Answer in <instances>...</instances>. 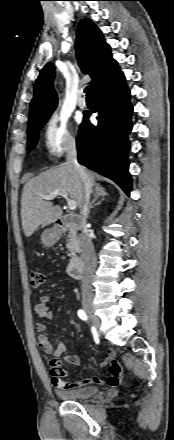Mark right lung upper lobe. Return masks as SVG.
Wrapping results in <instances>:
<instances>
[{
  "mask_svg": "<svg viewBox=\"0 0 174 440\" xmlns=\"http://www.w3.org/2000/svg\"><path fill=\"white\" fill-rule=\"evenodd\" d=\"M76 52L81 69L91 76L90 83L95 90L117 62L112 58L110 46L102 32L90 19L81 20L78 24ZM54 75V65L48 63L36 80L29 110V126L47 120L56 109L58 99L53 88Z\"/></svg>",
  "mask_w": 174,
  "mask_h": 440,
  "instance_id": "obj_1",
  "label": "right lung upper lobe"
}]
</instances>
